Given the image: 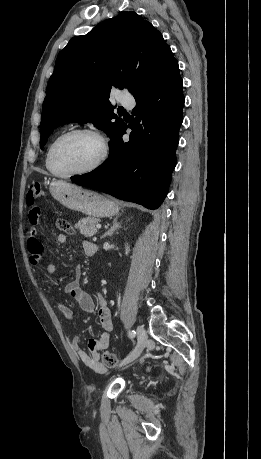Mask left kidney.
Returning <instances> with one entry per match:
<instances>
[{"label": "left kidney", "mask_w": 261, "mask_h": 459, "mask_svg": "<svg viewBox=\"0 0 261 459\" xmlns=\"http://www.w3.org/2000/svg\"><path fill=\"white\" fill-rule=\"evenodd\" d=\"M128 253H129V247L127 245L126 248H125V254L127 255Z\"/></svg>", "instance_id": "1"}]
</instances>
